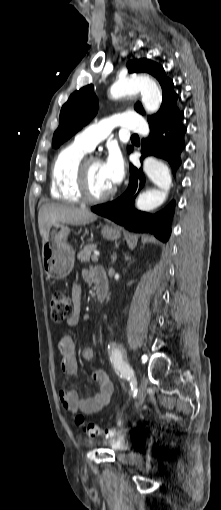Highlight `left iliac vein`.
Returning <instances> with one entry per match:
<instances>
[{"mask_svg": "<svg viewBox=\"0 0 221 510\" xmlns=\"http://www.w3.org/2000/svg\"><path fill=\"white\" fill-rule=\"evenodd\" d=\"M146 389H147V382L145 379H141L140 385L138 388V400L136 403V407H139L144 402L145 397H146Z\"/></svg>", "mask_w": 221, "mask_h": 510, "instance_id": "left-iliac-vein-1", "label": "left iliac vein"}]
</instances>
